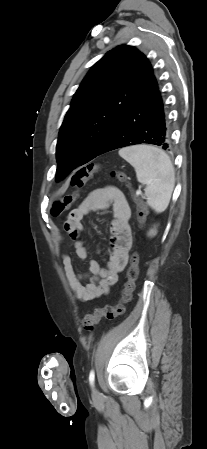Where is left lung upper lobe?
<instances>
[{"label":"left lung upper lobe","mask_w":207,"mask_h":449,"mask_svg":"<svg viewBox=\"0 0 207 449\" xmlns=\"http://www.w3.org/2000/svg\"><path fill=\"white\" fill-rule=\"evenodd\" d=\"M154 77L148 59L121 45L94 64L77 89L56 146V180L93 158Z\"/></svg>","instance_id":"5c2ea615"}]
</instances>
